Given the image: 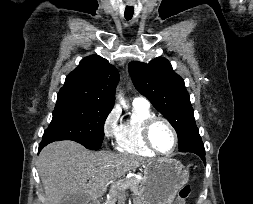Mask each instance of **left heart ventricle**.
<instances>
[{
  "mask_svg": "<svg viewBox=\"0 0 253 204\" xmlns=\"http://www.w3.org/2000/svg\"><path fill=\"white\" fill-rule=\"evenodd\" d=\"M151 140L161 152H169L174 144L170 129L163 122H157L151 129Z\"/></svg>",
  "mask_w": 253,
  "mask_h": 204,
  "instance_id": "1",
  "label": "left heart ventricle"
}]
</instances>
